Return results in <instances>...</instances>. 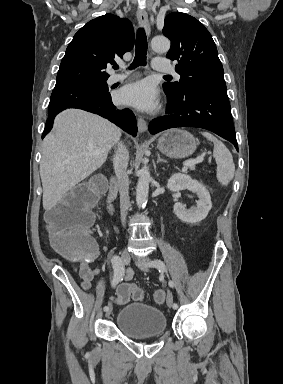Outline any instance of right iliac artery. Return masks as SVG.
<instances>
[{"mask_svg": "<svg viewBox=\"0 0 283 384\" xmlns=\"http://www.w3.org/2000/svg\"><path fill=\"white\" fill-rule=\"evenodd\" d=\"M112 265L114 269V277L112 281V286H116L119 282L123 280L125 274L124 264L121 262L119 256H113ZM108 306L104 307V311L108 310Z\"/></svg>", "mask_w": 283, "mask_h": 384, "instance_id": "obj_1", "label": "right iliac artery"}]
</instances>
